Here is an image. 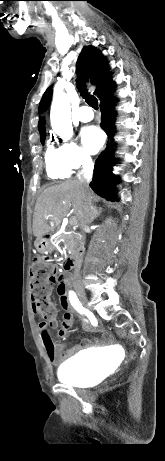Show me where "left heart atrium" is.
<instances>
[{
    "label": "left heart atrium",
    "instance_id": "obj_1",
    "mask_svg": "<svg viewBox=\"0 0 165 461\" xmlns=\"http://www.w3.org/2000/svg\"><path fill=\"white\" fill-rule=\"evenodd\" d=\"M81 138L90 153H97L104 143V135L96 126L85 127L81 132Z\"/></svg>",
    "mask_w": 165,
    "mask_h": 461
}]
</instances>
